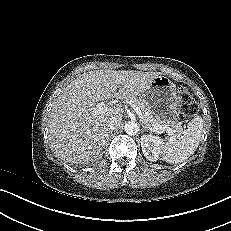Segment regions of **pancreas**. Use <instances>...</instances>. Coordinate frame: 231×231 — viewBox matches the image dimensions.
Returning <instances> with one entry per match:
<instances>
[{
    "instance_id": "1",
    "label": "pancreas",
    "mask_w": 231,
    "mask_h": 231,
    "mask_svg": "<svg viewBox=\"0 0 231 231\" xmlns=\"http://www.w3.org/2000/svg\"><path fill=\"white\" fill-rule=\"evenodd\" d=\"M135 104L141 109V112L143 114V118L141 119V121L147 128H152L156 125H162L163 124V121L159 117L152 115L147 110V108L145 107V105L143 103L136 100Z\"/></svg>"
}]
</instances>
